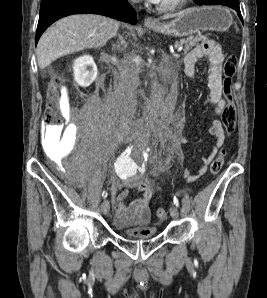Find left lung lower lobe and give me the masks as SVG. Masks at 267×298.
Listing matches in <instances>:
<instances>
[{
  "label": "left lung lower lobe",
  "mask_w": 267,
  "mask_h": 298,
  "mask_svg": "<svg viewBox=\"0 0 267 298\" xmlns=\"http://www.w3.org/2000/svg\"><path fill=\"white\" fill-rule=\"evenodd\" d=\"M196 3V2H195ZM198 5H225L237 11L239 18L243 22L240 7H239V0H202Z\"/></svg>",
  "instance_id": "obj_1"
}]
</instances>
